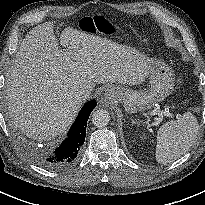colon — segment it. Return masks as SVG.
<instances>
[{
    "instance_id": "5ec220e1",
    "label": "colon",
    "mask_w": 205,
    "mask_h": 205,
    "mask_svg": "<svg viewBox=\"0 0 205 205\" xmlns=\"http://www.w3.org/2000/svg\"><path fill=\"white\" fill-rule=\"evenodd\" d=\"M91 21V26L93 27L94 30H102L106 26V21L98 16H94L90 18ZM177 86H181V81L177 82Z\"/></svg>"
}]
</instances>
